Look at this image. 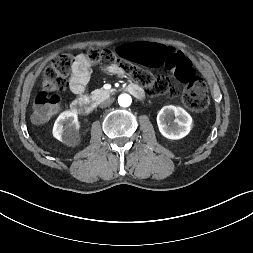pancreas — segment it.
<instances>
[{
  "label": "pancreas",
  "mask_w": 253,
  "mask_h": 253,
  "mask_svg": "<svg viewBox=\"0 0 253 253\" xmlns=\"http://www.w3.org/2000/svg\"><path fill=\"white\" fill-rule=\"evenodd\" d=\"M107 94H109V91L104 90V89H96V90H94V91L91 92V96L93 98H99L102 95H107Z\"/></svg>",
  "instance_id": "1"
}]
</instances>
